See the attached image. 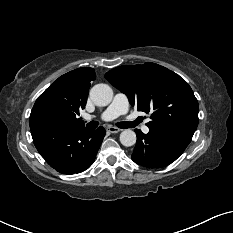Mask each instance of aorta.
<instances>
[{"mask_svg": "<svg viewBox=\"0 0 233 233\" xmlns=\"http://www.w3.org/2000/svg\"><path fill=\"white\" fill-rule=\"evenodd\" d=\"M90 98L97 106H107L113 98V91L107 84H97L90 90ZM136 134L131 129H125L120 134V142L124 146H133L136 143Z\"/></svg>", "mask_w": 233, "mask_h": 233, "instance_id": "762f6f07", "label": "aorta"}]
</instances>
